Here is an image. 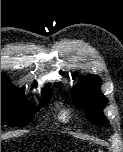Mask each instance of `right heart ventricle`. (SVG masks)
Returning <instances> with one entry per match:
<instances>
[{
    "instance_id": "obj_1",
    "label": "right heart ventricle",
    "mask_w": 123,
    "mask_h": 152,
    "mask_svg": "<svg viewBox=\"0 0 123 152\" xmlns=\"http://www.w3.org/2000/svg\"><path fill=\"white\" fill-rule=\"evenodd\" d=\"M69 118V115L66 111H61L60 115H59V119L61 121H67Z\"/></svg>"
}]
</instances>
